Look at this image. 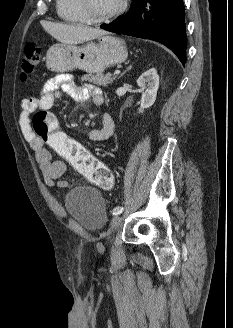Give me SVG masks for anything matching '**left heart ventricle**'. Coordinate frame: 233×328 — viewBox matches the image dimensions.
I'll return each mask as SVG.
<instances>
[{
    "instance_id": "left-heart-ventricle-1",
    "label": "left heart ventricle",
    "mask_w": 233,
    "mask_h": 328,
    "mask_svg": "<svg viewBox=\"0 0 233 328\" xmlns=\"http://www.w3.org/2000/svg\"><path fill=\"white\" fill-rule=\"evenodd\" d=\"M121 0H88L90 13L94 16H103L118 7Z\"/></svg>"
}]
</instances>
